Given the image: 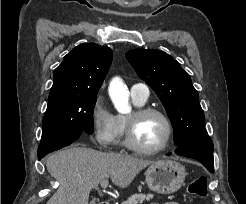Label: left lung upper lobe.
Segmentation results:
<instances>
[{"instance_id": "1", "label": "left lung upper lobe", "mask_w": 246, "mask_h": 204, "mask_svg": "<svg viewBox=\"0 0 246 204\" xmlns=\"http://www.w3.org/2000/svg\"><path fill=\"white\" fill-rule=\"evenodd\" d=\"M126 58L163 103L177 146L208 135L198 92L190 75L172 56L160 50L134 49L126 53Z\"/></svg>"}]
</instances>
